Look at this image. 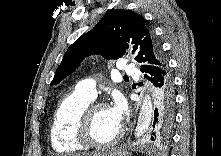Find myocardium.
<instances>
[{"label": "myocardium", "mask_w": 221, "mask_h": 156, "mask_svg": "<svg viewBox=\"0 0 221 156\" xmlns=\"http://www.w3.org/2000/svg\"><path fill=\"white\" fill-rule=\"evenodd\" d=\"M101 107H106V104L91 102L82 110L78 117L75 126V138L82 146L98 149L108 148L115 145L123 135V128L120 127L116 135L107 142H97L92 138L90 130L93 114Z\"/></svg>", "instance_id": "1"}]
</instances>
